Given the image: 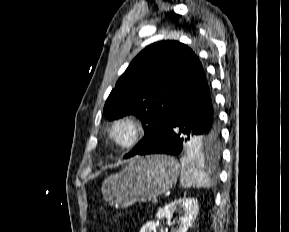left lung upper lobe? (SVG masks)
<instances>
[{
	"label": "left lung upper lobe",
	"instance_id": "left-lung-upper-lobe-1",
	"mask_svg": "<svg viewBox=\"0 0 289 232\" xmlns=\"http://www.w3.org/2000/svg\"><path fill=\"white\" fill-rule=\"evenodd\" d=\"M202 72L195 53L177 41L151 44L133 59L104 106L109 120L134 114L143 123L144 138L124 158L134 156L163 132L178 102ZM219 137L211 143L197 141L193 148L216 153Z\"/></svg>",
	"mask_w": 289,
	"mask_h": 232
}]
</instances>
